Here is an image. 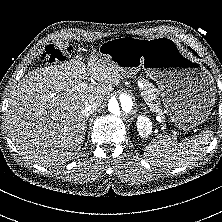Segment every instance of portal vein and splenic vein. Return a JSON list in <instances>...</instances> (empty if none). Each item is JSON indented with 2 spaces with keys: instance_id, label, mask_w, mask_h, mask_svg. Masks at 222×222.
<instances>
[{
  "instance_id": "obj_1",
  "label": "portal vein and splenic vein",
  "mask_w": 222,
  "mask_h": 222,
  "mask_svg": "<svg viewBox=\"0 0 222 222\" xmlns=\"http://www.w3.org/2000/svg\"><path fill=\"white\" fill-rule=\"evenodd\" d=\"M156 119H157V121L162 122V119L160 118V116H157ZM176 134H177L176 132H173L172 136L175 137Z\"/></svg>"
}]
</instances>
